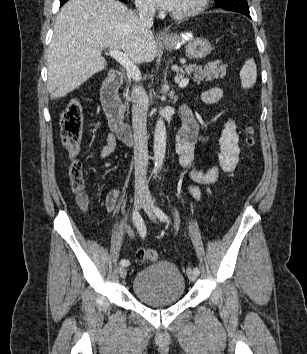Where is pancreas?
Here are the masks:
<instances>
[{"mask_svg":"<svg viewBox=\"0 0 307 354\" xmlns=\"http://www.w3.org/2000/svg\"><path fill=\"white\" fill-rule=\"evenodd\" d=\"M177 77L182 79L184 76L193 74V81L200 83L201 81H212L213 79L223 78L226 76V66H218L217 63L210 62L204 67L201 65L190 64L178 68ZM126 105L128 106L129 96L128 90L124 93Z\"/></svg>","mask_w":307,"mask_h":354,"instance_id":"obj_1","label":"pancreas"}]
</instances>
